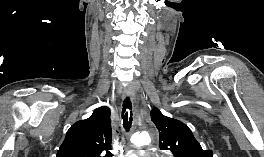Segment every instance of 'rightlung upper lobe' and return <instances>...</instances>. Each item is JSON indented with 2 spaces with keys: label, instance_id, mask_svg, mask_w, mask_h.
Listing matches in <instances>:
<instances>
[{
  "label": "right lung upper lobe",
  "instance_id": "right-lung-upper-lobe-1",
  "mask_svg": "<svg viewBox=\"0 0 264 157\" xmlns=\"http://www.w3.org/2000/svg\"><path fill=\"white\" fill-rule=\"evenodd\" d=\"M111 139L110 109L102 106L70 127L56 157H112Z\"/></svg>",
  "mask_w": 264,
  "mask_h": 157
}]
</instances>
